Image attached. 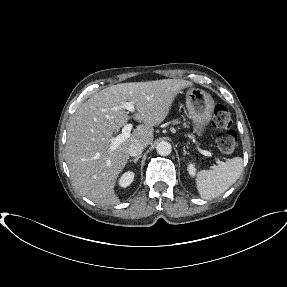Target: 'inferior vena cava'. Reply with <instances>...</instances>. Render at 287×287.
Listing matches in <instances>:
<instances>
[{
    "label": "inferior vena cava",
    "instance_id": "1",
    "mask_svg": "<svg viewBox=\"0 0 287 287\" xmlns=\"http://www.w3.org/2000/svg\"><path fill=\"white\" fill-rule=\"evenodd\" d=\"M144 148L145 146L142 143L135 142L129 146L128 153L130 156L138 157L141 155Z\"/></svg>",
    "mask_w": 287,
    "mask_h": 287
}]
</instances>
